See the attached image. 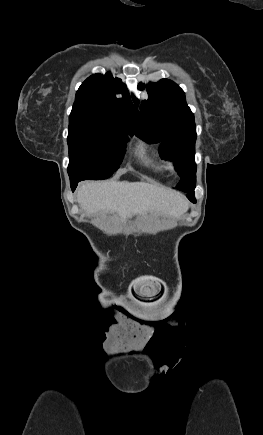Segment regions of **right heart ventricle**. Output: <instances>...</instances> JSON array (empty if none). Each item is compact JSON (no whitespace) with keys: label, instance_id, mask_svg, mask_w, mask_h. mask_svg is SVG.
Wrapping results in <instances>:
<instances>
[{"label":"right heart ventricle","instance_id":"obj_1","mask_svg":"<svg viewBox=\"0 0 263 435\" xmlns=\"http://www.w3.org/2000/svg\"><path fill=\"white\" fill-rule=\"evenodd\" d=\"M138 154L141 158L144 159L147 165H150L152 168H154L157 171H164L166 169L165 165L162 162H155L153 163L148 155H147V148L145 145H140L138 148Z\"/></svg>","mask_w":263,"mask_h":435}]
</instances>
